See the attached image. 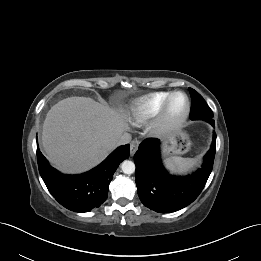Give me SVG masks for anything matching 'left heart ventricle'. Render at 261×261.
I'll return each instance as SVG.
<instances>
[{"instance_id": "left-heart-ventricle-1", "label": "left heart ventricle", "mask_w": 261, "mask_h": 261, "mask_svg": "<svg viewBox=\"0 0 261 261\" xmlns=\"http://www.w3.org/2000/svg\"><path fill=\"white\" fill-rule=\"evenodd\" d=\"M186 107V100L183 96L178 95L176 96L171 103V107H170V116L172 118H178L180 117Z\"/></svg>"}]
</instances>
